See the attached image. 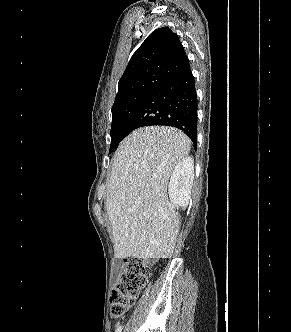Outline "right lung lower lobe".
Segmentation results:
<instances>
[{"instance_id": "98d812e1", "label": "right lung lower lobe", "mask_w": 291, "mask_h": 332, "mask_svg": "<svg viewBox=\"0 0 291 332\" xmlns=\"http://www.w3.org/2000/svg\"><path fill=\"white\" fill-rule=\"evenodd\" d=\"M151 125L176 127L197 145V94L190 66L167 77L140 104L125 134Z\"/></svg>"}]
</instances>
